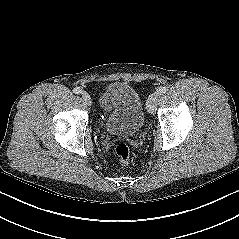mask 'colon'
Instances as JSON below:
<instances>
[{"mask_svg":"<svg viewBox=\"0 0 239 239\" xmlns=\"http://www.w3.org/2000/svg\"><path fill=\"white\" fill-rule=\"evenodd\" d=\"M115 155L120 161V163L125 165L128 163L130 159L131 150L126 143L121 142V143H118L115 147Z\"/></svg>","mask_w":239,"mask_h":239,"instance_id":"1","label":"colon"}]
</instances>
